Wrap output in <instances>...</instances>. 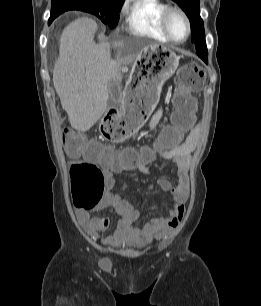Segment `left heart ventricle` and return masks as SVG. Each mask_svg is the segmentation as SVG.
I'll return each instance as SVG.
<instances>
[{"mask_svg":"<svg viewBox=\"0 0 261 306\" xmlns=\"http://www.w3.org/2000/svg\"><path fill=\"white\" fill-rule=\"evenodd\" d=\"M169 28L175 39L181 40L186 36V26L183 19L178 14L171 15Z\"/></svg>","mask_w":261,"mask_h":306,"instance_id":"left-heart-ventricle-1","label":"left heart ventricle"}]
</instances>
